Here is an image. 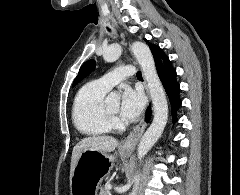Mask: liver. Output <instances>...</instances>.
Segmentation results:
<instances>
[{"mask_svg":"<svg viewBox=\"0 0 240 195\" xmlns=\"http://www.w3.org/2000/svg\"><path fill=\"white\" fill-rule=\"evenodd\" d=\"M117 145L118 139L112 137V135H93V137H83V139L73 147L70 177H72L74 173V169L83 149H86V147H92V149H98V151H102V153H108V151H114Z\"/></svg>","mask_w":240,"mask_h":195,"instance_id":"obj_1","label":"liver"}]
</instances>
